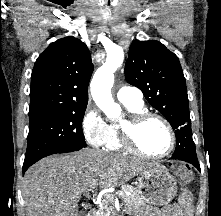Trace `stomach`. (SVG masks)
<instances>
[{"instance_id": "1", "label": "stomach", "mask_w": 221, "mask_h": 216, "mask_svg": "<svg viewBox=\"0 0 221 216\" xmlns=\"http://www.w3.org/2000/svg\"><path fill=\"white\" fill-rule=\"evenodd\" d=\"M138 193L143 204L164 206L175 197L177 183L166 168L156 165L138 174Z\"/></svg>"}]
</instances>
